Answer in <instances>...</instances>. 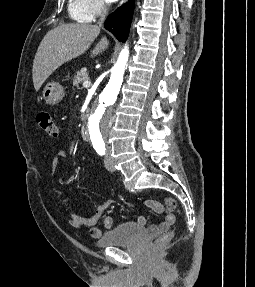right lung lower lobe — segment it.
I'll return each instance as SVG.
<instances>
[{"instance_id": "obj_1", "label": "right lung lower lobe", "mask_w": 255, "mask_h": 287, "mask_svg": "<svg viewBox=\"0 0 255 287\" xmlns=\"http://www.w3.org/2000/svg\"><path fill=\"white\" fill-rule=\"evenodd\" d=\"M134 3L130 0L126 5L121 6L114 13L108 16L104 27L109 30L119 41H125L133 16Z\"/></svg>"}]
</instances>
